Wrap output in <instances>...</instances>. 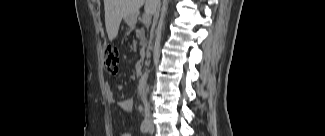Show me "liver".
Segmentation results:
<instances>
[{
	"label": "liver",
	"instance_id": "1",
	"mask_svg": "<svg viewBox=\"0 0 325 136\" xmlns=\"http://www.w3.org/2000/svg\"><path fill=\"white\" fill-rule=\"evenodd\" d=\"M144 3L145 11L153 13L154 2L151 0H104L105 25L110 41L117 37L122 18L129 15L137 17Z\"/></svg>",
	"mask_w": 325,
	"mask_h": 136
}]
</instances>
